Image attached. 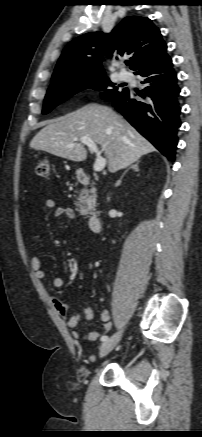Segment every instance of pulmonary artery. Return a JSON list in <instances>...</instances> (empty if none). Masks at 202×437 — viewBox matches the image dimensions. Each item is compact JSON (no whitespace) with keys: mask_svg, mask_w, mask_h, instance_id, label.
Segmentation results:
<instances>
[{"mask_svg":"<svg viewBox=\"0 0 202 437\" xmlns=\"http://www.w3.org/2000/svg\"><path fill=\"white\" fill-rule=\"evenodd\" d=\"M119 77L121 80H128L130 76L126 71H121Z\"/></svg>","mask_w":202,"mask_h":437,"instance_id":"pulmonary-artery-1","label":"pulmonary artery"}]
</instances>
